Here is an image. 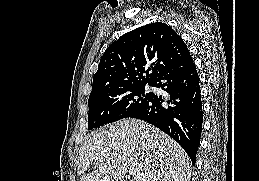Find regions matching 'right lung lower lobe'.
<instances>
[{
	"instance_id": "right-lung-lower-lobe-1",
	"label": "right lung lower lobe",
	"mask_w": 259,
	"mask_h": 181,
	"mask_svg": "<svg viewBox=\"0 0 259 181\" xmlns=\"http://www.w3.org/2000/svg\"><path fill=\"white\" fill-rule=\"evenodd\" d=\"M170 95L169 100L152 94L149 101L132 118L144 120L164 131L186 151L192 162L200 144L202 102L199 76L188 53L152 82Z\"/></svg>"
}]
</instances>
